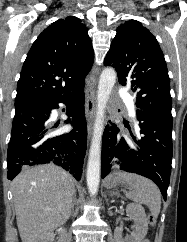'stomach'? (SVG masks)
I'll return each mask as SVG.
<instances>
[{
    "mask_svg": "<svg viewBox=\"0 0 187 242\" xmlns=\"http://www.w3.org/2000/svg\"><path fill=\"white\" fill-rule=\"evenodd\" d=\"M124 183H125V181L122 178H120L118 175H114V176H111L107 179L106 186L108 188H113V187H116L118 185H122Z\"/></svg>",
    "mask_w": 187,
    "mask_h": 242,
    "instance_id": "stomach-1",
    "label": "stomach"
}]
</instances>
